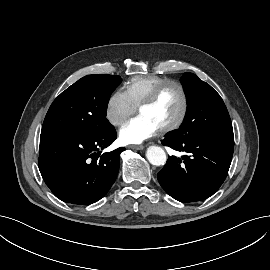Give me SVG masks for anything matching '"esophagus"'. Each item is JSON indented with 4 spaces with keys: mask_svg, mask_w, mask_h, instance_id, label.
<instances>
[{
    "mask_svg": "<svg viewBox=\"0 0 270 270\" xmlns=\"http://www.w3.org/2000/svg\"><path fill=\"white\" fill-rule=\"evenodd\" d=\"M129 148L134 149V150H143L144 146L143 145H130Z\"/></svg>",
    "mask_w": 270,
    "mask_h": 270,
    "instance_id": "1",
    "label": "esophagus"
}]
</instances>
